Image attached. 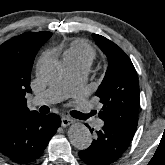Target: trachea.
Masks as SVG:
<instances>
[{"mask_svg":"<svg viewBox=\"0 0 165 165\" xmlns=\"http://www.w3.org/2000/svg\"><path fill=\"white\" fill-rule=\"evenodd\" d=\"M81 117L86 118V117H88V115L81 114Z\"/></svg>","mask_w":165,"mask_h":165,"instance_id":"3493384b","label":"trachea"}]
</instances>
